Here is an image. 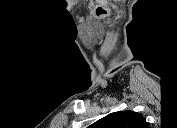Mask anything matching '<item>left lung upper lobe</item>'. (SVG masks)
I'll return each instance as SVG.
<instances>
[{
    "instance_id": "1",
    "label": "left lung upper lobe",
    "mask_w": 177,
    "mask_h": 128,
    "mask_svg": "<svg viewBox=\"0 0 177 128\" xmlns=\"http://www.w3.org/2000/svg\"><path fill=\"white\" fill-rule=\"evenodd\" d=\"M94 124L97 128H147L145 119L133 111L114 112Z\"/></svg>"
}]
</instances>
